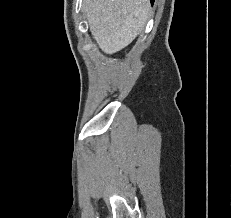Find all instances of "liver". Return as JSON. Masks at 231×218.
Returning a JSON list of instances; mask_svg holds the SVG:
<instances>
[{
  "label": "liver",
  "mask_w": 231,
  "mask_h": 218,
  "mask_svg": "<svg viewBox=\"0 0 231 218\" xmlns=\"http://www.w3.org/2000/svg\"><path fill=\"white\" fill-rule=\"evenodd\" d=\"M90 32L106 54L128 46L144 28L149 0H83Z\"/></svg>",
  "instance_id": "liver-1"
}]
</instances>
